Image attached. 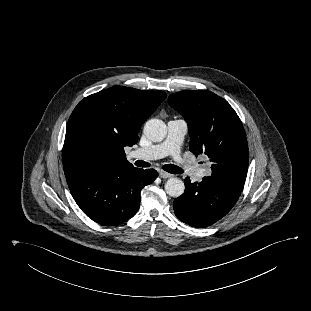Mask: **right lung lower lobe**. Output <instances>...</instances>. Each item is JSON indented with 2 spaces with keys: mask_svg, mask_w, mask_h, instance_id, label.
<instances>
[{
  "mask_svg": "<svg viewBox=\"0 0 311 311\" xmlns=\"http://www.w3.org/2000/svg\"><path fill=\"white\" fill-rule=\"evenodd\" d=\"M71 194L93 221L113 226L133 217L140 205L142 188L153 182L154 169L97 165L65 174Z\"/></svg>",
  "mask_w": 311,
  "mask_h": 311,
  "instance_id": "right-lung-lower-lobe-1",
  "label": "right lung lower lobe"
}]
</instances>
